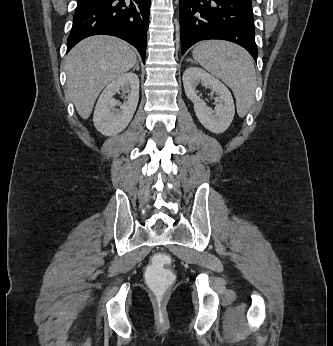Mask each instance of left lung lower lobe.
Returning <instances> with one entry per match:
<instances>
[{"mask_svg": "<svg viewBox=\"0 0 333 346\" xmlns=\"http://www.w3.org/2000/svg\"><path fill=\"white\" fill-rule=\"evenodd\" d=\"M181 52L201 40L220 39L244 47L257 61L250 0H180Z\"/></svg>", "mask_w": 333, "mask_h": 346, "instance_id": "obj_1", "label": "left lung lower lobe"}]
</instances>
